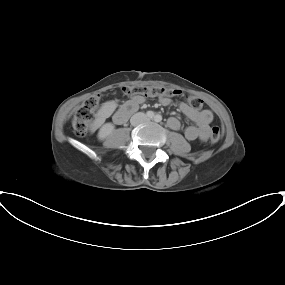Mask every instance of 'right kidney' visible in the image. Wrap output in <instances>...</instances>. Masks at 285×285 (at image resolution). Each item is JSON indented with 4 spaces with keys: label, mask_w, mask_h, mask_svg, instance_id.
I'll use <instances>...</instances> for the list:
<instances>
[{
    "label": "right kidney",
    "mask_w": 285,
    "mask_h": 285,
    "mask_svg": "<svg viewBox=\"0 0 285 285\" xmlns=\"http://www.w3.org/2000/svg\"><path fill=\"white\" fill-rule=\"evenodd\" d=\"M115 129V126L112 123H105L98 132V139L105 140L109 137Z\"/></svg>",
    "instance_id": "right-kidney-1"
}]
</instances>
